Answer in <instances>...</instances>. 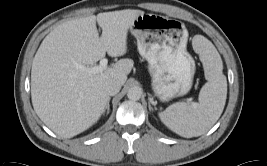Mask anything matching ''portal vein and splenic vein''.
I'll use <instances>...</instances> for the list:
<instances>
[{
	"instance_id": "obj_1",
	"label": "portal vein and splenic vein",
	"mask_w": 267,
	"mask_h": 166,
	"mask_svg": "<svg viewBox=\"0 0 267 166\" xmlns=\"http://www.w3.org/2000/svg\"><path fill=\"white\" fill-rule=\"evenodd\" d=\"M108 60L106 58L101 59L99 65L93 67H85L84 65H78L77 67L80 70L87 71L89 73H99L104 71L107 68Z\"/></svg>"
}]
</instances>
